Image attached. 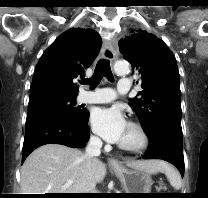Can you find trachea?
<instances>
[{
  "label": "trachea",
  "instance_id": "trachea-1",
  "mask_svg": "<svg viewBox=\"0 0 208 198\" xmlns=\"http://www.w3.org/2000/svg\"><path fill=\"white\" fill-rule=\"evenodd\" d=\"M103 77H106L109 80L113 79L110 62L105 59H102L97 63L93 76L88 80L84 79L81 84H89L91 88H95Z\"/></svg>",
  "mask_w": 208,
  "mask_h": 198
}]
</instances>
